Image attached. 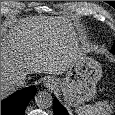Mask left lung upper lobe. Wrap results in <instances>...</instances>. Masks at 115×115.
<instances>
[{"instance_id":"obj_1","label":"left lung upper lobe","mask_w":115,"mask_h":115,"mask_svg":"<svg viewBox=\"0 0 115 115\" xmlns=\"http://www.w3.org/2000/svg\"><path fill=\"white\" fill-rule=\"evenodd\" d=\"M111 52H112L113 54H115V43H114V45H113V47H112Z\"/></svg>"}]
</instances>
